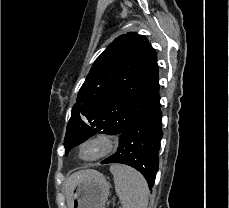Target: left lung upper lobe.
<instances>
[{
    "label": "left lung upper lobe",
    "instance_id": "5c2ea615",
    "mask_svg": "<svg viewBox=\"0 0 229 208\" xmlns=\"http://www.w3.org/2000/svg\"><path fill=\"white\" fill-rule=\"evenodd\" d=\"M145 39L121 35L96 59L71 111L65 155L98 130L121 134L160 100L157 56Z\"/></svg>",
    "mask_w": 229,
    "mask_h": 208
}]
</instances>
